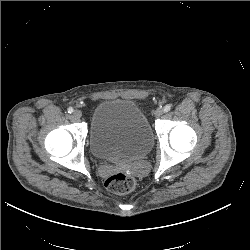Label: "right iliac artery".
Returning <instances> with one entry per match:
<instances>
[{
	"mask_svg": "<svg viewBox=\"0 0 250 250\" xmlns=\"http://www.w3.org/2000/svg\"><path fill=\"white\" fill-rule=\"evenodd\" d=\"M67 111H68V113H73V111H74V109L72 108V107H69L68 109H67Z\"/></svg>",
	"mask_w": 250,
	"mask_h": 250,
	"instance_id": "1",
	"label": "right iliac artery"
}]
</instances>
